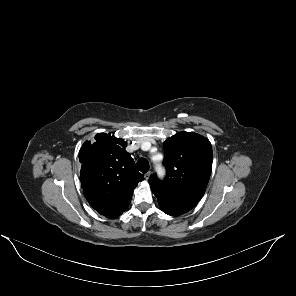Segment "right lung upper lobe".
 <instances>
[{"label":"right lung upper lobe","mask_w":296,"mask_h":296,"mask_svg":"<svg viewBox=\"0 0 296 296\" xmlns=\"http://www.w3.org/2000/svg\"><path fill=\"white\" fill-rule=\"evenodd\" d=\"M95 142L86 141L79 151L80 181L83 193L92 208L126 207L137 183L144 179L131 155L127 142L98 133Z\"/></svg>","instance_id":"obj_1"}]
</instances>
